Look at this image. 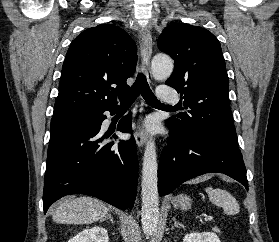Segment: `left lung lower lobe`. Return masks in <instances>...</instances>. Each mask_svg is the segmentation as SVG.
Listing matches in <instances>:
<instances>
[{"instance_id":"obj_1","label":"left lung lower lobe","mask_w":279,"mask_h":242,"mask_svg":"<svg viewBox=\"0 0 279 242\" xmlns=\"http://www.w3.org/2000/svg\"><path fill=\"white\" fill-rule=\"evenodd\" d=\"M168 126L169 138L158 167V190L161 196L171 193L191 178L211 172L226 174L248 190L246 168L238 146L206 137L188 140Z\"/></svg>"}]
</instances>
